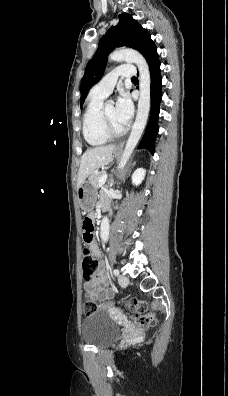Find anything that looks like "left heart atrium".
Instances as JSON below:
<instances>
[{
	"label": "left heart atrium",
	"instance_id": "1",
	"mask_svg": "<svg viewBox=\"0 0 228 396\" xmlns=\"http://www.w3.org/2000/svg\"><path fill=\"white\" fill-rule=\"evenodd\" d=\"M133 114V104L127 93L122 92L118 97L115 106V117L117 121L125 126L131 119Z\"/></svg>",
	"mask_w": 228,
	"mask_h": 396
}]
</instances>
